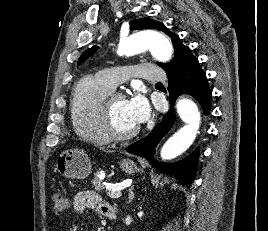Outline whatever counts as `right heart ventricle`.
Instances as JSON below:
<instances>
[{
    "mask_svg": "<svg viewBox=\"0 0 268 231\" xmlns=\"http://www.w3.org/2000/svg\"><path fill=\"white\" fill-rule=\"evenodd\" d=\"M112 91L97 77L87 76L78 83L69 105L76 135L99 145L111 141L103 129L101 108L104 98Z\"/></svg>",
    "mask_w": 268,
    "mask_h": 231,
    "instance_id": "right-heart-ventricle-1",
    "label": "right heart ventricle"
}]
</instances>
